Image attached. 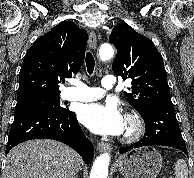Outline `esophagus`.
Wrapping results in <instances>:
<instances>
[{"label":"esophagus","mask_w":194,"mask_h":178,"mask_svg":"<svg viewBox=\"0 0 194 178\" xmlns=\"http://www.w3.org/2000/svg\"><path fill=\"white\" fill-rule=\"evenodd\" d=\"M88 44L91 49L93 50L96 49L97 37H96V33L93 30L89 33ZM97 149L100 152H106V151L109 152L111 151V145L108 143L100 142L97 144Z\"/></svg>","instance_id":"1"}]
</instances>
